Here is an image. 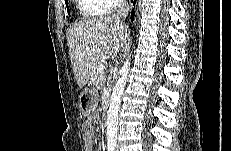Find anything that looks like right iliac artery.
<instances>
[{
  "label": "right iliac artery",
  "mask_w": 231,
  "mask_h": 151,
  "mask_svg": "<svg viewBox=\"0 0 231 151\" xmlns=\"http://www.w3.org/2000/svg\"><path fill=\"white\" fill-rule=\"evenodd\" d=\"M114 148H115L114 146H109V147H108V151H113Z\"/></svg>",
  "instance_id": "1"
}]
</instances>
